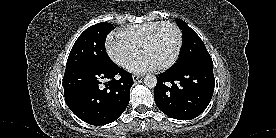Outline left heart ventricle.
I'll list each match as a JSON object with an SVG mask.
<instances>
[{
  "instance_id": "left-heart-ventricle-1",
  "label": "left heart ventricle",
  "mask_w": 276,
  "mask_h": 138,
  "mask_svg": "<svg viewBox=\"0 0 276 138\" xmlns=\"http://www.w3.org/2000/svg\"><path fill=\"white\" fill-rule=\"evenodd\" d=\"M178 46L176 30L171 26L161 29L154 42L142 52L151 57L159 66L172 59Z\"/></svg>"
}]
</instances>
